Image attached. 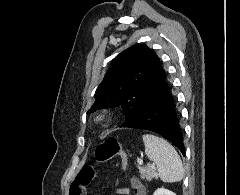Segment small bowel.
<instances>
[{"mask_svg": "<svg viewBox=\"0 0 240 195\" xmlns=\"http://www.w3.org/2000/svg\"><path fill=\"white\" fill-rule=\"evenodd\" d=\"M130 186L133 192V195H147V191L145 186L142 184V182L136 178L132 177L130 179ZM131 189L129 188H120L118 192L121 195H130L131 194Z\"/></svg>", "mask_w": 240, "mask_h": 195, "instance_id": "c3829d8e", "label": "small bowel"}]
</instances>
